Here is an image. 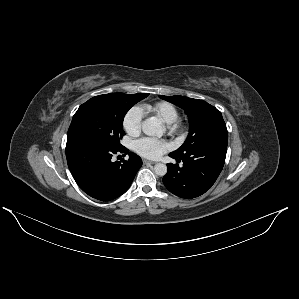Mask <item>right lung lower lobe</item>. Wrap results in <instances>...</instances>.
<instances>
[{
    "instance_id": "right-lung-lower-lobe-1",
    "label": "right lung lower lobe",
    "mask_w": 299,
    "mask_h": 299,
    "mask_svg": "<svg viewBox=\"0 0 299 299\" xmlns=\"http://www.w3.org/2000/svg\"><path fill=\"white\" fill-rule=\"evenodd\" d=\"M117 153L127 154L128 150L91 140L66 144L67 163L74 180L86 194L101 201L125 193L142 166L141 158L132 152L128 160L113 161Z\"/></svg>"
}]
</instances>
